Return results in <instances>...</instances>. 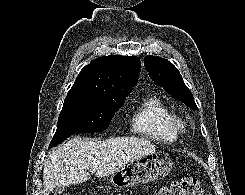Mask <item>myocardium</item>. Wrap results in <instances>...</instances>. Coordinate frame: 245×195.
I'll list each match as a JSON object with an SVG mask.
<instances>
[{"mask_svg":"<svg viewBox=\"0 0 245 195\" xmlns=\"http://www.w3.org/2000/svg\"><path fill=\"white\" fill-rule=\"evenodd\" d=\"M169 126L176 134L183 133L186 130L185 121L176 115H172L169 120Z\"/></svg>","mask_w":245,"mask_h":195,"instance_id":"f54148a6","label":"myocardium"}]
</instances>
